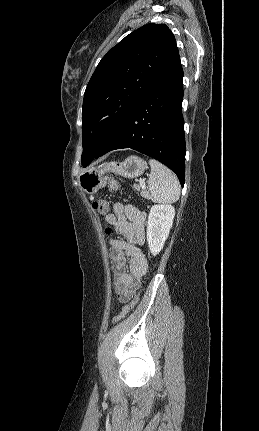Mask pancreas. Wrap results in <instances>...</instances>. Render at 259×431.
Returning a JSON list of instances; mask_svg holds the SVG:
<instances>
[{
	"label": "pancreas",
	"mask_w": 259,
	"mask_h": 431,
	"mask_svg": "<svg viewBox=\"0 0 259 431\" xmlns=\"http://www.w3.org/2000/svg\"><path fill=\"white\" fill-rule=\"evenodd\" d=\"M134 188L137 190V191H140L141 193V196L143 197V198H145V199H150L151 197H150V194L148 193V191L146 190V188L145 187H142V185H138V184H134Z\"/></svg>",
	"instance_id": "obj_1"
}]
</instances>
